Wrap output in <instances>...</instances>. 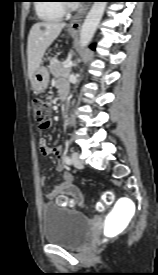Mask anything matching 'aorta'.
Listing matches in <instances>:
<instances>
[{
	"instance_id": "1",
	"label": "aorta",
	"mask_w": 158,
	"mask_h": 275,
	"mask_svg": "<svg viewBox=\"0 0 158 275\" xmlns=\"http://www.w3.org/2000/svg\"><path fill=\"white\" fill-rule=\"evenodd\" d=\"M106 2H94L88 12L80 31V47L87 46L102 19L106 8Z\"/></svg>"
}]
</instances>
